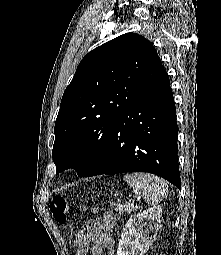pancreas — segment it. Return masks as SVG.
I'll return each mask as SVG.
<instances>
[{"instance_id": "cf45deb5", "label": "pancreas", "mask_w": 221, "mask_h": 255, "mask_svg": "<svg viewBox=\"0 0 221 255\" xmlns=\"http://www.w3.org/2000/svg\"><path fill=\"white\" fill-rule=\"evenodd\" d=\"M113 206L120 214L130 213L132 210H134V206L129 203L114 202Z\"/></svg>"}]
</instances>
